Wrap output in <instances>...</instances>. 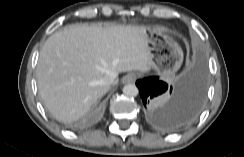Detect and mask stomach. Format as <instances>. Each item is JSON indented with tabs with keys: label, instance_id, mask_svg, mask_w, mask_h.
Returning <instances> with one entry per match:
<instances>
[{
	"label": "stomach",
	"instance_id": "obj_1",
	"mask_svg": "<svg viewBox=\"0 0 244 157\" xmlns=\"http://www.w3.org/2000/svg\"><path fill=\"white\" fill-rule=\"evenodd\" d=\"M146 43L150 52L151 68L162 79H170L183 62L179 44L160 29H147Z\"/></svg>",
	"mask_w": 244,
	"mask_h": 157
}]
</instances>
